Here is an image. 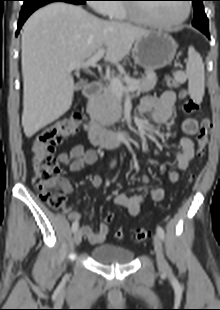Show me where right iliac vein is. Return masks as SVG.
Segmentation results:
<instances>
[{
    "label": "right iliac vein",
    "mask_w": 220,
    "mask_h": 310,
    "mask_svg": "<svg viewBox=\"0 0 220 310\" xmlns=\"http://www.w3.org/2000/svg\"><path fill=\"white\" fill-rule=\"evenodd\" d=\"M82 231L81 230H77L74 234V242H75V245H79L82 241Z\"/></svg>",
    "instance_id": "right-iliac-vein-1"
}]
</instances>
